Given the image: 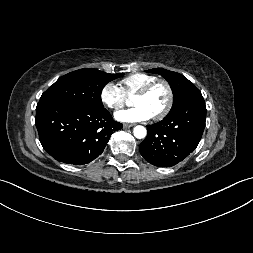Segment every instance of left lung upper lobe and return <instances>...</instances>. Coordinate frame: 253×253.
Here are the masks:
<instances>
[{"mask_svg":"<svg viewBox=\"0 0 253 253\" xmlns=\"http://www.w3.org/2000/svg\"><path fill=\"white\" fill-rule=\"evenodd\" d=\"M146 72L158 73L170 84L174 96V102L170 112L174 111L177 107L183 104L187 96L197 89L192 82L179 73L162 68L150 69L146 70Z\"/></svg>","mask_w":253,"mask_h":253,"instance_id":"1","label":"left lung upper lobe"}]
</instances>
